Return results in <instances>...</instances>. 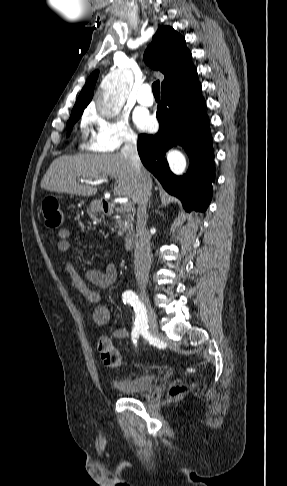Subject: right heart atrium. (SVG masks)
I'll return each mask as SVG.
<instances>
[{
  "instance_id": "obj_1",
  "label": "right heart atrium",
  "mask_w": 287,
  "mask_h": 486,
  "mask_svg": "<svg viewBox=\"0 0 287 486\" xmlns=\"http://www.w3.org/2000/svg\"><path fill=\"white\" fill-rule=\"evenodd\" d=\"M82 125L87 133L85 149L89 151L115 152L136 143V136L124 116L105 117L90 108L83 115Z\"/></svg>"
}]
</instances>
